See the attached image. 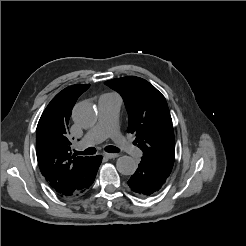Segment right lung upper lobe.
<instances>
[{
  "label": "right lung upper lobe",
  "instance_id": "right-lung-upper-lobe-1",
  "mask_svg": "<svg viewBox=\"0 0 246 246\" xmlns=\"http://www.w3.org/2000/svg\"><path fill=\"white\" fill-rule=\"evenodd\" d=\"M89 86L76 84L63 89L48 104L37 125L36 155L40 171L50 186L66 198L90 167L91 157L71 155L68 136L72 108Z\"/></svg>",
  "mask_w": 246,
  "mask_h": 246
}]
</instances>
